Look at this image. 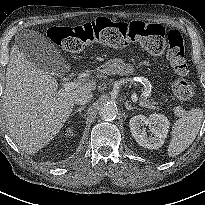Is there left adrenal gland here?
I'll return each mask as SVG.
<instances>
[{"mask_svg": "<svg viewBox=\"0 0 205 205\" xmlns=\"http://www.w3.org/2000/svg\"><path fill=\"white\" fill-rule=\"evenodd\" d=\"M125 107H126V109L129 111V110H141L140 108H137V107H133V106H131L129 103H128V101H126L125 102Z\"/></svg>", "mask_w": 205, "mask_h": 205, "instance_id": "1", "label": "left adrenal gland"}]
</instances>
